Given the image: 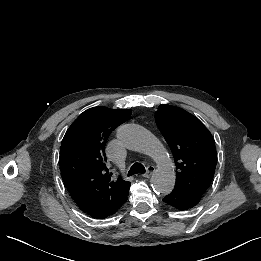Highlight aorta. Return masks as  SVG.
<instances>
[{"label":"aorta","mask_w":261,"mask_h":261,"mask_svg":"<svg viewBox=\"0 0 261 261\" xmlns=\"http://www.w3.org/2000/svg\"><path fill=\"white\" fill-rule=\"evenodd\" d=\"M117 139L129 150L151 156L158 168L153 172L151 185L160 195H168L175 185L173 163L162 143L147 129L137 124L122 125L117 131Z\"/></svg>","instance_id":"aorta-1"}]
</instances>
